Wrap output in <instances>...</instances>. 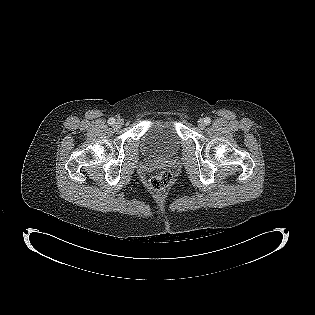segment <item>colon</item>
I'll return each instance as SVG.
<instances>
[{
  "mask_svg": "<svg viewBox=\"0 0 315 315\" xmlns=\"http://www.w3.org/2000/svg\"><path fill=\"white\" fill-rule=\"evenodd\" d=\"M173 174L171 171L164 170L153 174L150 177V186L155 190H164L171 185Z\"/></svg>",
  "mask_w": 315,
  "mask_h": 315,
  "instance_id": "5ec220e1",
  "label": "colon"
}]
</instances>
